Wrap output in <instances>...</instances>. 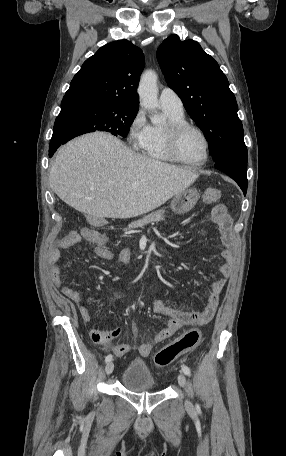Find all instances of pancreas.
<instances>
[{"label": "pancreas", "instance_id": "pancreas-1", "mask_svg": "<svg viewBox=\"0 0 286 456\" xmlns=\"http://www.w3.org/2000/svg\"><path fill=\"white\" fill-rule=\"evenodd\" d=\"M164 210H158V211H155L147 216H145L144 218L138 220V221H135V222H132L128 225V230L130 229H135V228H138V227H142L146 224H149V223H152V222H160V221H163L164 220Z\"/></svg>", "mask_w": 286, "mask_h": 456}]
</instances>
